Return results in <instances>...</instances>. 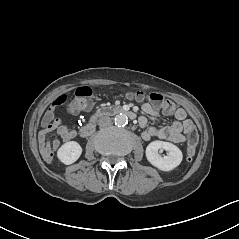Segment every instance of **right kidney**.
<instances>
[{
    "instance_id": "ca27d5eb",
    "label": "right kidney",
    "mask_w": 239,
    "mask_h": 239,
    "mask_svg": "<svg viewBox=\"0 0 239 239\" xmlns=\"http://www.w3.org/2000/svg\"><path fill=\"white\" fill-rule=\"evenodd\" d=\"M81 153V146L77 142L72 141V143L62 144L61 147L57 149L56 158L63 164H70L78 160Z\"/></svg>"
}]
</instances>
